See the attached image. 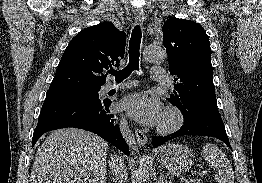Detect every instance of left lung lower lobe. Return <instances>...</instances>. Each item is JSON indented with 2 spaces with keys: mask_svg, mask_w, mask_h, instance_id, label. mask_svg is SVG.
<instances>
[{
  "mask_svg": "<svg viewBox=\"0 0 262 183\" xmlns=\"http://www.w3.org/2000/svg\"><path fill=\"white\" fill-rule=\"evenodd\" d=\"M183 117L184 124L178 131L163 137H153L152 145L154 147H158L167 141L180 136L199 135L218 138L222 140L229 148H231L224 124L219 113L197 112L190 113Z\"/></svg>",
  "mask_w": 262,
  "mask_h": 183,
  "instance_id": "obj_1",
  "label": "left lung lower lobe"
}]
</instances>
